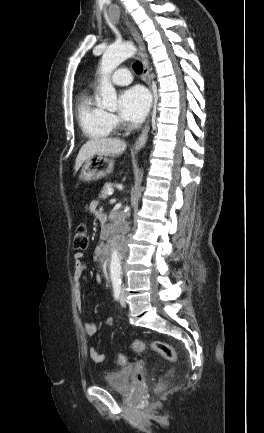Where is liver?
<instances>
[{"label": "liver", "instance_id": "liver-1", "mask_svg": "<svg viewBox=\"0 0 264 433\" xmlns=\"http://www.w3.org/2000/svg\"><path fill=\"white\" fill-rule=\"evenodd\" d=\"M126 149V143L117 138H94L87 141L80 149L76 161L77 172L82 164L94 155L115 156L122 154Z\"/></svg>", "mask_w": 264, "mask_h": 433}]
</instances>
